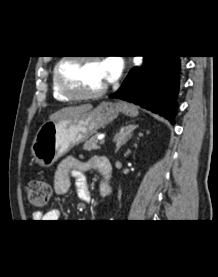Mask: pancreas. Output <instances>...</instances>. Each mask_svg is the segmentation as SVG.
<instances>
[{"mask_svg": "<svg viewBox=\"0 0 218 277\" xmlns=\"http://www.w3.org/2000/svg\"><path fill=\"white\" fill-rule=\"evenodd\" d=\"M83 149L87 151H94L100 149V146L98 145L97 141V135L93 136L90 140L86 141L83 146Z\"/></svg>", "mask_w": 218, "mask_h": 277, "instance_id": "pancreas-1", "label": "pancreas"}]
</instances>
